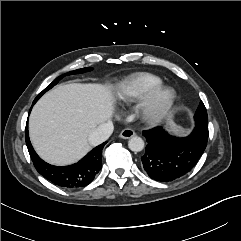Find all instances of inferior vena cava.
<instances>
[{
	"mask_svg": "<svg viewBox=\"0 0 241 241\" xmlns=\"http://www.w3.org/2000/svg\"><path fill=\"white\" fill-rule=\"evenodd\" d=\"M114 125L111 121L102 123L88 137V141L92 146H97L106 141L113 133Z\"/></svg>",
	"mask_w": 241,
	"mask_h": 241,
	"instance_id": "inferior-vena-cava-1",
	"label": "inferior vena cava"
}]
</instances>
